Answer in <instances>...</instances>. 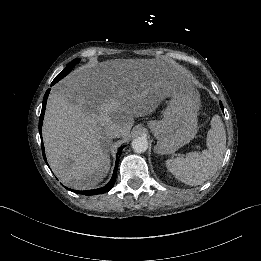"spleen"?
I'll return each mask as SVG.
<instances>
[{
	"instance_id": "spleen-1",
	"label": "spleen",
	"mask_w": 261,
	"mask_h": 261,
	"mask_svg": "<svg viewBox=\"0 0 261 261\" xmlns=\"http://www.w3.org/2000/svg\"><path fill=\"white\" fill-rule=\"evenodd\" d=\"M206 143L208 149L202 153L190 152L185 158L166 160L167 169L187 185H201L216 174L226 150V131L219 115H214L211 119Z\"/></svg>"
}]
</instances>
